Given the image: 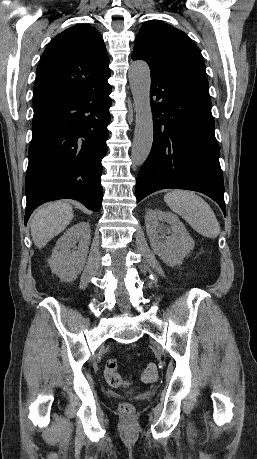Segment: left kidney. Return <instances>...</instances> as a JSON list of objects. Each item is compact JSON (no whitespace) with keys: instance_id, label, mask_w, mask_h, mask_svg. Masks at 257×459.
I'll list each match as a JSON object with an SVG mask.
<instances>
[{"instance_id":"1","label":"left kidney","mask_w":257,"mask_h":459,"mask_svg":"<svg viewBox=\"0 0 257 459\" xmlns=\"http://www.w3.org/2000/svg\"><path fill=\"white\" fill-rule=\"evenodd\" d=\"M145 225L153 251L169 266L181 264L195 247L184 224L171 212L150 210Z\"/></svg>"}]
</instances>
